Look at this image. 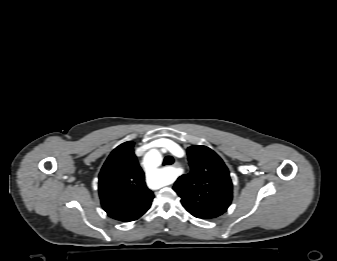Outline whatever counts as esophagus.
<instances>
[{
    "mask_svg": "<svg viewBox=\"0 0 337 261\" xmlns=\"http://www.w3.org/2000/svg\"><path fill=\"white\" fill-rule=\"evenodd\" d=\"M173 166H174V167H179L180 164H179L178 162H175Z\"/></svg>",
    "mask_w": 337,
    "mask_h": 261,
    "instance_id": "obj_1",
    "label": "esophagus"
}]
</instances>
